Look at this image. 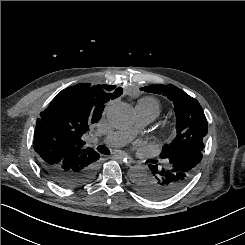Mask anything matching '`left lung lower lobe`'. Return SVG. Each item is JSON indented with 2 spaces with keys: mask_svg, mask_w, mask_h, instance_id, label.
Segmentation results:
<instances>
[{
  "mask_svg": "<svg viewBox=\"0 0 245 245\" xmlns=\"http://www.w3.org/2000/svg\"><path fill=\"white\" fill-rule=\"evenodd\" d=\"M202 157V151L185 150L166 159L165 167L149 165L152 175L137 183V191L156 201L174 196L191 180Z\"/></svg>",
  "mask_w": 245,
  "mask_h": 245,
  "instance_id": "1",
  "label": "left lung lower lobe"
}]
</instances>
